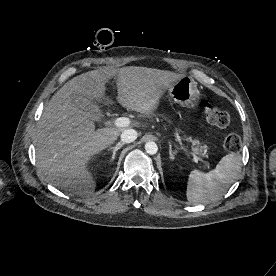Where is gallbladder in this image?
<instances>
[{
	"mask_svg": "<svg viewBox=\"0 0 276 276\" xmlns=\"http://www.w3.org/2000/svg\"><path fill=\"white\" fill-rule=\"evenodd\" d=\"M72 101L78 108L86 112L95 121H99L103 116L97 101H91L79 95H72Z\"/></svg>",
	"mask_w": 276,
	"mask_h": 276,
	"instance_id": "obj_1",
	"label": "gallbladder"
}]
</instances>
